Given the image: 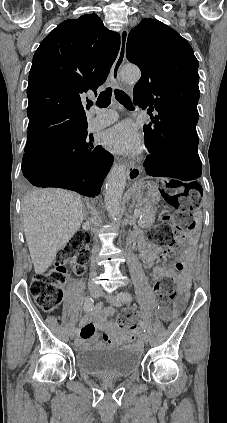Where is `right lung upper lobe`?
Returning a JSON list of instances; mask_svg holds the SVG:
<instances>
[{"label": "right lung upper lobe", "instance_id": "1", "mask_svg": "<svg viewBox=\"0 0 227 423\" xmlns=\"http://www.w3.org/2000/svg\"><path fill=\"white\" fill-rule=\"evenodd\" d=\"M120 49L119 34L95 14L60 23L36 50L29 73L28 139L25 152L87 126L82 101L97 95ZM55 112L38 115L40 108Z\"/></svg>", "mask_w": 227, "mask_h": 423}]
</instances>
